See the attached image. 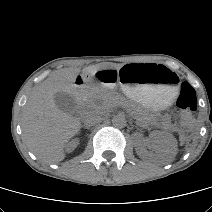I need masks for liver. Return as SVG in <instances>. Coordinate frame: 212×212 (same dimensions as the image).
I'll use <instances>...</instances> for the list:
<instances>
[{
    "label": "liver",
    "mask_w": 212,
    "mask_h": 212,
    "mask_svg": "<svg viewBox=\"0 0 212 212\" xmlns=\"http://www.w3.org/2000/svg\"><path fill=\"white\" fill-rule=\"evenodd\" d=\"M122 65H115L120 68ZM101 65L83 69L94 73ZM78 69L64 68L54 72L36 87L22 112V131L25 143L36 157L46 164L58 163L65 157L64 145L75 136L81 127L79 119L58 109L54 101L57 92L75 93L74 82Z\"/></svg>",
    "instance_id": "liver-1"
}]
</instances>
